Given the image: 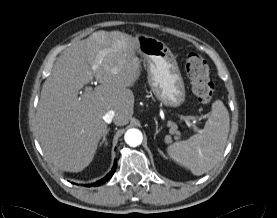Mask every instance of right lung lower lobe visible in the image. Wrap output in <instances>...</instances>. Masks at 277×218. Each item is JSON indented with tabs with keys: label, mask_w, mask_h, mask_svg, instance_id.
<instances>
[{
	"label": "right lung lower lobe",
	"mask_w": 277,
	"mask_h": 218,
	"mask_svg": "<svg viewBox=\"0 0 277 218\" xmlns=\"http://www.w3.org/2000/svg\"><path fill=\"white\" fill-rule=\"evenodd\" d=\"M116 166H117V163L114 164V166L112 168V171L109 174H107L103 179H101V180H99V181H97L95 183H92V184H90L88 186H93V185L94 186H99V185L105 183L106 181H108L112 177V175L114 174Z\"/></svg>",
	"instance_id": "98d812e1"
}]
</instances>
